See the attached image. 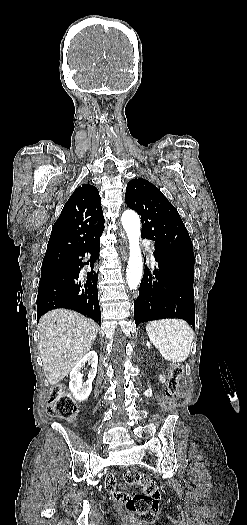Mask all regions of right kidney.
<instances>
[{"label": "right kidney", "mask_w": 247, "mask_h": 525, "mask_svg": "<svg viewBox=\"0 0 247 525\" xmlns=\"http://www.w3.org/2000/svg\"><path fill=\"white\" fill-rule=\"evenodd\" d=\"M86 363L91 365V369L88 371L87 381L83 383L81 369L85 367ZM97 367V353H95V351H89V353H87V355H85V357H83V359L77 363L76 367L72 369L70 373L69 389L71 393H73V397H75L76 401H80V403L81 401H87L92 391V383L96 377Z\"/></svg>", "instance_id": "obj_1"}]
</instances>
